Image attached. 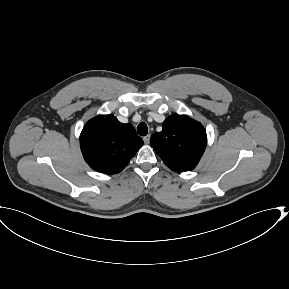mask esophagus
Instances as JSON below:
<instances>
[{
  "label": "esophagus",
  "instance_id": "esophagus-1",
  "mask_svg": "<svg viewBox=\"0 0 289 289\" xmlns=\"http://www.w3.org/2000/svg\"><path fill=\"white\" fill-rule=\"evenodd\" d=\"M143 141H144L145 144H149V142H150V135L145 136V137L143 138Z\"/></svg>",
  "mask_w": 289,
  "mask_h": 289
}]
</instances>
